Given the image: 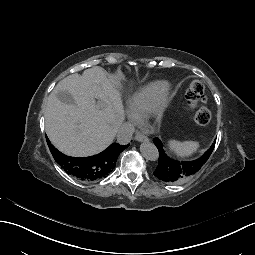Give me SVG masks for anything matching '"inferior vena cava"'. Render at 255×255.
Returning a JSON list of instances; mask_svg holds the SVG:
<instances>
[{
    "label": "inferior vena cava",
    "instance_id": "inferior-vena-cava-1",
    "mask_svg": "<svg viewBox=\"0 0 255 255\" xmlns=\"http://www.w3.org/2000/svg\"><path fill=\"white\" fill-rule=\"evenodd\" d=\"M134 131H135L134 126L130 123H125L121 125L117 132V141L120 144L129 143Z\"/></svg>",
    "mask_w": 255,
    "mask_h": 255
}]
</instances>
